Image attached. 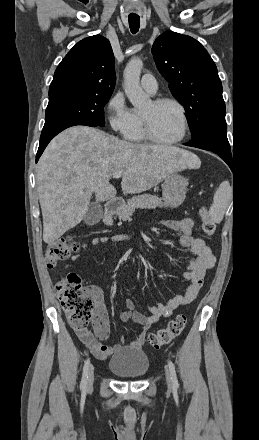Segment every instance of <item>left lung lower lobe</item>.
Returning <instances> with one entry per match:
<instances>
[{
  "mask_svg": "<svg viewBox=\"0 0 259 440\" xmlns=\"http://www.w3.org/2000/svg\"><path fill=\"white\" fill-rule=\"evenodd\" d=\"M185 145L212 151L219 155L230 167L232 165V155L227 139V131L211 130Z\"/></svg>",
  "mask_w": 259,
  "mask_h": 440,
  "instance_id": "1",
  "label": "left lung lower lobe"
}]
</instances>
